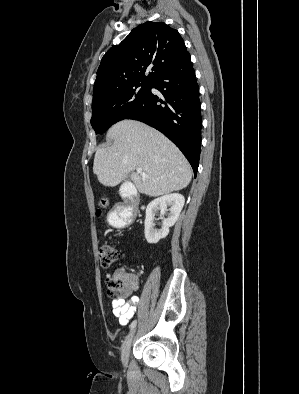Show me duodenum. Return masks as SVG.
Masks as SVG:
<instances>
[{
  "mask_svg": "<svg viewBox=\"0 0 299 394\" xmlns=\"http://www.w3.org/2000/svg\"><path fill=\"white\" fill-rule=\"evenodd\" d=\"M121 195L124 199V202L122 204V208L119 211V219L123 222H128L133 220L135 217L138 199L129 187L123 188Z\"/></svg>",
  "mask_w": 299,
  "mask_h": 394,
  "instance_id": "obj_1",
  "label": "duodenum"
}]
</instances>
